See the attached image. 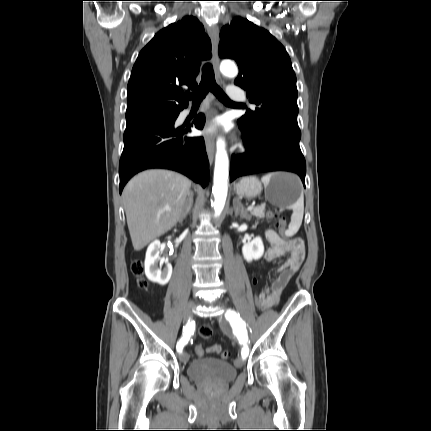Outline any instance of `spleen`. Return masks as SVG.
I'll list each match as a JSON object with an SVG mask.
<instances>
[{"label":"spleen","mask_w":431,"mask_h":431,"mask_svg":"<svg viewBox=\"0 0 431 431\" xmlns=\"http://www.w3.org/2000/svg\"><path fill=\"white\" fill-rule=\"evenodd\" d=\"M272 175H273V173H270V174H267V175L262 177V182L264 183V185L270 181ZM291 208L293 209V213L291 215V222H290L288 230L286 232V234L288 236L294 235L299 230V228L302 224L303 215H304V196H303V193L301 194V196L297 200V202L292 205Z\"/></svg>","instance_id":"obj_1"}]
</instances>
